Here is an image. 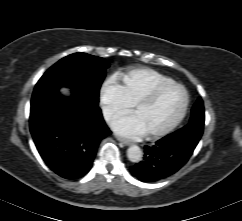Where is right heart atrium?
<instances>
[{"mask_svg":"<svg viewBox=\"0 0 242 221\" xmlns=\"http://www.w3.org/2000/svg\"><path fill=\"white\" fill-rule=\"evenodd\" d=\"M102 113L107 121L127 112L132 107L123 87L115 79L105 80L99 89Z\"/></svg>","mask_w":242,"mask_h":221,"instance_id":"right-heart-atrium-1","label":"right heart atrium"}]
</instances>
